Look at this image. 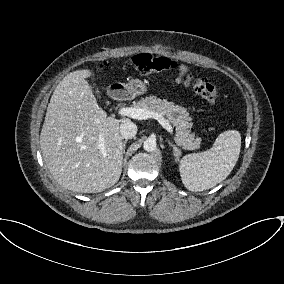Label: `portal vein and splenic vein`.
Listing matches in <instances>:
<instances>
[{
  "label": "portal vein and splenic vein",
  "instance_id": "18ae733b",
  "mask_svg": "<svg viewBox=\"0 0 284 284\" xmlns=\"http://www.w3.org/2000/svg\"><path fill=\"white\" fill-rule=\"evenodd\" d=\"M118 114L121 116H127L138 120L154 118L159 122V124L162 125L164 129H166L170 134H173V128L169 120L165 119L161 114H158L156 112L148 111L146 109L137 107H124L119 109ZM103 140L104 138L102 137V135H100L99 141L102 142Z\"/></svg>",
  "mask_w": 284,
  "mask_h": 284
}]
</instances>
